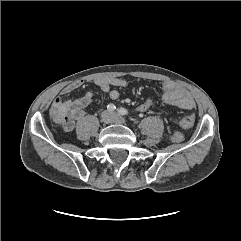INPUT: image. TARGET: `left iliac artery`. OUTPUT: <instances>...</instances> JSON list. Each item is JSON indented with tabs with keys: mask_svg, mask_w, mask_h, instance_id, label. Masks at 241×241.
<instances>
[{
	"mask_svg": "<svg viewBox=\"0 0 241 241\" xmlns=\"http://www.w3.org/2000/svg\"><path fill=\"white\" fill-rule=\"evenodd\" d=\"M118 113L121 115H128V111L125 108H119Z\"/></svg>",
	"mask_w": 241,
	"mask_h": 241,
	"instance_id": "44dca946",
	"label": "left iliac artery"
}]
</instances>
